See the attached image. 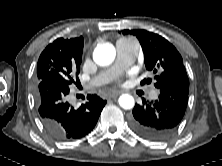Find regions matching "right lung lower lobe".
Segmentation results:
<instances>
[{
  "instance_id": "98d812e1",
  "label": "right lung lower lobe",
  "mask_w": 222,
  "mask_h": 166,
  "mask_svg": "<svg viewBox=\"0 0 222 166\" xmlns=\"http://www.w3.org/2000/svg\"><path fill=\"white\" fill-rule=\"evenodd\" d=\"M67 94L69 85L57 78L38 81L35 96L42 124L49 135L59 141L87 135L106 104L99 96L88 95V101L76 109L66 101Z\"/></svg>"
}]
</instances>
